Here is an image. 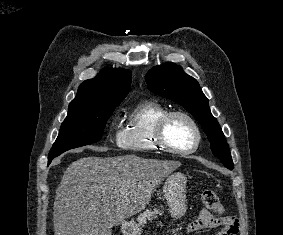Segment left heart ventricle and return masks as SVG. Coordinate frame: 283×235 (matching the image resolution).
I'll return each mask as SVG.
<instances>
[{
    "instance_id": "obj_1",
    "label": "left heart ventricle",
    "mask_w": 283,
    "mask_h": 235,
    "mask_svg": "<svg viewBox=\"0 0 283 235\" xmlns=\"http://www.w3.org/2000/svg\"><path fill=\"white\" fill-rule=\"evenodd\" d=\"M166 140L175 149L185 150L195 143V131L191 124L184 118L175 117L167 124L165 131Z\"/></svg>"
}]
</instances>
